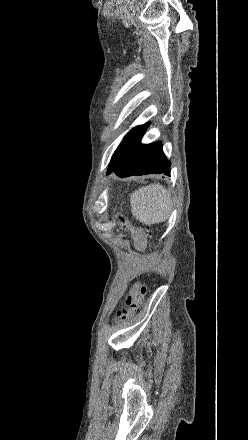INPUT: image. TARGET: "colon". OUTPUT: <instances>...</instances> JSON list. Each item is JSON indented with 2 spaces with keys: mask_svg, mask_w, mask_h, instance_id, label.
I'll use <instances>...</instances> for the list:
<instances>
[{
  "mask_svg": "<svg viewBox=\"0 0 248 440\" xmlns=\"http://www.w3.org/2000/svg\"><path fill=\"white\" fill-rule=\"evenodd\" d=\"M146 231L143 232V234L140 236L141 240H142V243L145 241L146 237L148 236ZM147 291H148L147 285L137 283L134 286V288H133V290H132V292H131L128 300H127V304L130 305L133 308L136 307L137 304L140 302L141 298L147 293ZM119 317L122 320H125L126 319V314H121Z\"/></svg>",
  "mask_w": 248,
  "mask_h": 440,
  "instance_id": "5ec220e1",
  "label": "colon"
}]
</instances>
